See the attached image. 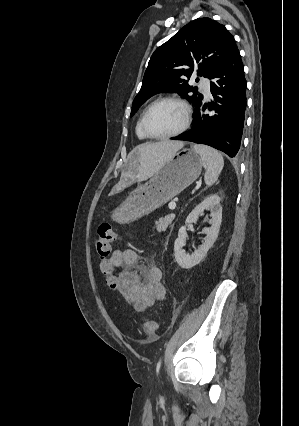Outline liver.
I'll list each match as a JSON object with an SVG mask.
<instances>
[{"instance_id":"1","label":"liver","mask_w":299,"mask_h":426,"mask_svg":"<svg viewBox=\"0 0 299 426\" xmlns=\"http://www.w3.org/2000/svg\"><path fill=\"white\" fill-rule=\"evenodd\" d=\"M183 146L184 143L181 141L169 140L137 146L131 153L136 170V178L145 180L152 177Z\"/></svg>"}]
</instances>
